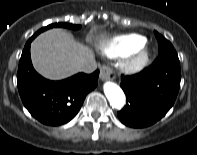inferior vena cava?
Instances as JSON below:
<instances>
[{"label":"inferior vena cava","mask_w":197,"mask_h":155,"mask_svg":"<svg viewBox=\"0 0 197 155\" xmlns=\"http://www.w3.org/2000/svg\"><path fill=\"white\" fill-rule=\"evenodd\" d=\"M97 69V63L95 60H91L81 66L80 71L84 73H92Z\"/></svg>","instance_id":"1"}]
</instances>
